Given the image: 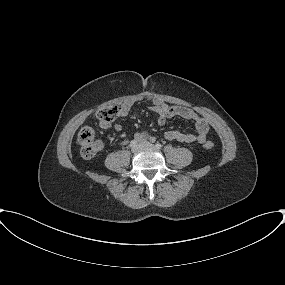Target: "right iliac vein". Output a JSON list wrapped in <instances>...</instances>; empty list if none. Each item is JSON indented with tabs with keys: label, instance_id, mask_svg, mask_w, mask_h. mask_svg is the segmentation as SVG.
I'll return each instance as SVG.
<instances>
[{
	"label": "right iliac vein",
	"instance_id": "right-iliac-vein-1",
	"mask_svg": "<svg viewBox=\"0 0 285 285\" xmlns=\"http://www.w3.org/2000/svg\"><path fill=\"white\" fill-rule=\"evenodd\" d=\"M140 148H141V144H137L136 146H134V147L132 148V151H133V152H137Z\"/></svg>",
	"mask_w": 285,
	"mask_h": 285
}]
</instances>
